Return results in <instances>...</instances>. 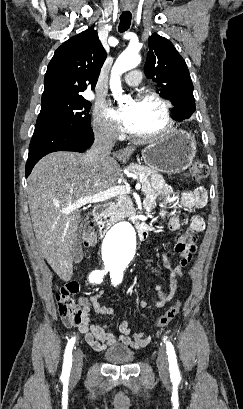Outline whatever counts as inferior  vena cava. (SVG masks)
<instances>
[{
    "mask_svg": "<svg viewBox=\"0 0 243 409\" xmlns=\"http://www.w3.org/2000/svg\"><path fill=\"white\" fill-rule=\"evenodd\" d=\"M115 141V136L109 131L104 129L97 130L93 145L84 155L85 161L97 167L103 159L109 156Z\"/></svg>",
    "mask_w": 243,
    "mask_h": 409,
    "instance_id": "inferior-vena-cava-1",
    "label": "inferior vena cava"
}]
</instances>
